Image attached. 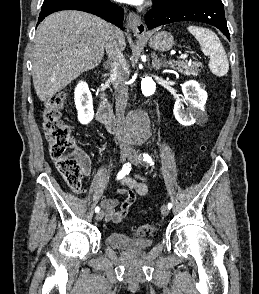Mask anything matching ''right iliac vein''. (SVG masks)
Segmentation results:
<instances>
[{"label":"right iliac vein","mask_w":259,"mask_h":294,"mask_svg":"<svg viewBox=\"0 0 259 294\" xmlns=\"http://www.w3.org/2000/svg\"><path fill=\"white\" fill-rule=\"evenodd\" d=\"M131 154V150L129 148H122L120 152V160L124 162ZM104 217V211H100L96 214L95 218L97 221H101Z\"/></svg>","instance_id":"obj_1"}]
</instances>
